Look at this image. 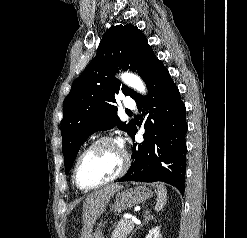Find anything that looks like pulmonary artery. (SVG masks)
<instances>
[{"mask_svg": "<svg viewBox=\"0 0 247 238\" xmlns=\"http://www.w3.org/2000/svg\"><path fill=\"white\" fill-rule=\"evenodd\" d=\"M124 106L127 109H134L135 108V102L131 98H125L124 99Z\"/></svg>", "mask_w": 247, "mask_h": 238, "instance_id": "1", "label": "pulmonary artery"}]
</instances>
